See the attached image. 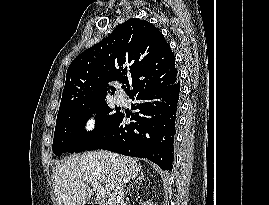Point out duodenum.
<instances>
[{
    "label": "duodenum",
    "mask_w": 269,
    "mask_h": 205,
    "mask_svg": "<svg viewBox=\"0 0 269 205\" xmlns=\"http://www.w3.org/2000/svg\"><path fill=\"white\" fill-rule=\"evenodd\" d=\"M85 205H102L101 203H87Z\"/></svg>",
    "instance_id": "410a0bca"
}]
</instances>
